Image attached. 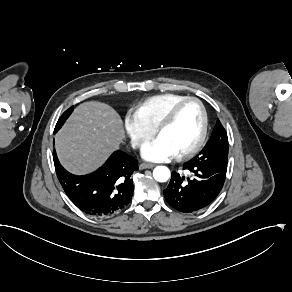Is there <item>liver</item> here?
<instances>
[{
    "instance_id": "liver-1",
    "label": "liver",
    "mask_w": 292,
    "mask_h": 292,
    "mask_svg": "<svg viewBox=\"0 0 292 292\" xmlns=\"http://www.w3.org/2000/svg\"><path fill=\"white\" fill-rule=\"evenodd\" d=\"M55 138L57 155L64 168L85 175L119 149L125 131L121 117L111 106L89 101L75 108Z\"/></svg>"
}]
</instances>
